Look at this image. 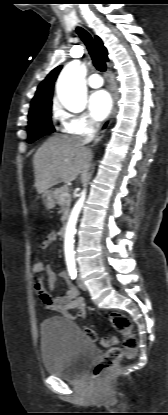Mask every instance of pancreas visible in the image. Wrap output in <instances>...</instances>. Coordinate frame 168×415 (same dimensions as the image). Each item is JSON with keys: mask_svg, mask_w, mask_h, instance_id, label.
Returning a JSON list of instances; mask_svg holds the SVG:
<instances>
[{"mask_svg": "<svg viewBox=\"0 0 168 415\" xmlns=\"http://www.w3.org/2000/svg\"><path fill=\"white\" fill-rule=\"evenodd\" d=\"M68 192L66 188H58L53 192V197L56 201V203L63 207V214L61 217V221L65 222L70 208L71 203V196L68 194L67 196H62L63 193Z\"/></svg>", "mask_w": 168, "mask_h": 415, "instance_id": "cf45deb5", "label": "pancreas"}]
</instances>
